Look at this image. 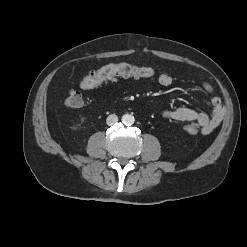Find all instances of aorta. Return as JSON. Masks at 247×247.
<instances>
[{
  "mask_svg": "<svg viewBox=\"0 0 247 247\" xmlns=\"http://www.w3.org/2000/svg\"><path fill=\"white\" fill-rule=\"evenodd\" d=\"M121 120H122V123L127 126L132 125L135 121L134 116L131 114H124Z\"/></svg>",
  "mask_w": 247,
  "mask_h": 247,
  "instance_id": "762f6f07",
  "label": "aorta"
}]
</instances>
